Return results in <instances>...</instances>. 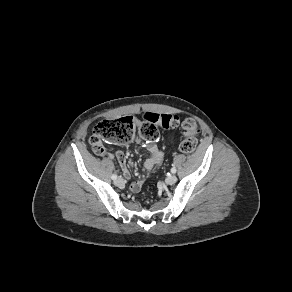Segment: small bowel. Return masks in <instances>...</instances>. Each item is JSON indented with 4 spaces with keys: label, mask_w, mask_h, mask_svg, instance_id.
Instances as JSON below:
<instances>
[{
    "label": "small bowel",
    "mask_w": 292,
    "mask_h": 292,
    "mask_svg": "<svg viewBox=\"0 0 292 292\" xmlns=\"http://www.w3.org/2000/svg\"><path fill=\"white\" fill-rule=\"evenodd\" d=\"M136 123H139L138 119H134ZM135 141L140 144L143 148H145L149 152V157L144 162V169L146 171H153L160 167L163 162V152L161 149L153 142L143 141L141 138L137 137ZM101 156H109V153L104 150ZM115 158L117 163L122 170V173L125 178L131 177V172L129 167L133 164L132 161H129L127 156L122 151H117L115 153ZM144 181L139 179L135 180L130 184V190L134 193H137L141 190Z\"/></svg>",
    "instance_id": "small-bowel-1"
}]
</instances>
